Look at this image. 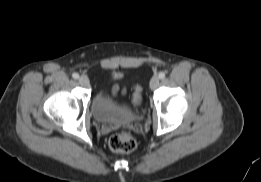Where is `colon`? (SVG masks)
<instances>
[{
  "label": "colon",
  "instance_id": "obj_1",
  "mask_svg": "<svg viewBox=\"0 0 261 182\" xmlns=\"http://www.w3.org/2000/svg\"><path fill=\"white\" fill-rule=\"evenodd\" d=\"M132 103L134 107L140 103V87L138 86L134 89ZM108 146L114 152L127 153L135 149L136 139L131 133L122 131L109 138Z\"/></svg>",
  "mask_w": 261,
  "mask_h": 182
}]
</instances>
